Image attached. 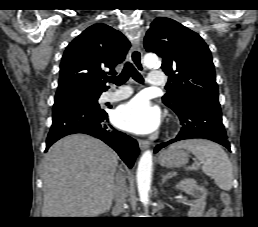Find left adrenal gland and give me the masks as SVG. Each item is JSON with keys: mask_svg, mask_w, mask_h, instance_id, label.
<instances>
[{"mask_svg": "<svg viewBox=\"0 0 258 227\" xmlns=\"http://www.w3.org/2000/svg\"><path fill=\"white\" fill-rule=\"evenodd\" d=\"M175 175L174 172H168L167 174L162 175V184L166 182L167 179L172 178Z\"/></svg>", "mask_w": 258, "mask_h": 227, "instance_id": "obj_1", "label": "left adrenal gland"}]
</instances>
